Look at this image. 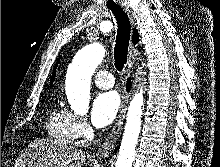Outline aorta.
<instances>
[{"label":"aorta","mask_w":220,"mask_h":167,"mask_svg":"<svg viewBox=\"0 0 220 167\" xmlns=\"http://www.w3.org/2000/svg\"><path fill=\"white\" fill-rule=\"evenodd\" d=\"M105 50L99 43L82 48L69 65L66 76V95L71 109L85 115L89 109L91 77L102 62ZM143 91L135 94L128 108L125 130L115 167H132L135 148L141 129Z\"/></svg>","instance_id":"aorta-1"}]
</instances>
